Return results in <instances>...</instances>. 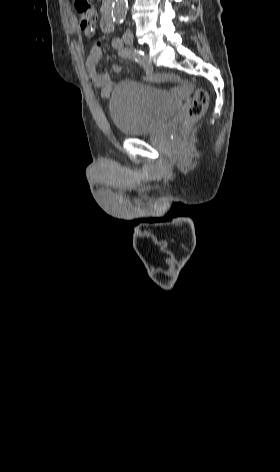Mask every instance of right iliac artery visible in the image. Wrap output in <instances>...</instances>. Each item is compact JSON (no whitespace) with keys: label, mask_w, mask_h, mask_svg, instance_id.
Returning <instances> with one entry per match:
<instances>
[{"label":"right iliac artery","mask_w":280,"mask_h":472,"mask_svg":"<svg viewBox=\"0 0 280 472\" xmlns=\"http://www.w3.org/2000/svg\"><path fill=\"white\" fill-rule=\"evenodd\" d=\"M119 55L122 58L132 59L138 64H140V66H142L146 71L147 76L151 78L153 67L151 64V60L144 54V52L133 48H120Z\"/></svg>","instance_id":"obj_1"}]
</instances>
